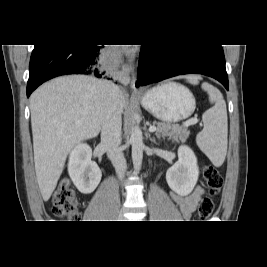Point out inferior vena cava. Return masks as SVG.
<instances>
[{
	"instance_id": "obj_1",
	"label": "inferior vena cava",
	"mask_w": 267,
	"mask_h": 267,
	"mask_svg": "<svg viewBox=\"0 0 267 267\" xmlns=\"http://www.w3.org/2000/svg\"><path fill=\"white\" fill-rule=\"evenodd\" d=\"M106 94L105 115L101 128V145L106 149L116 174L123 180L127 169L126 160L119 146L121 144V109L119 106V88L115 84L105 81Z\"/></svg>"
}]
</instances>
